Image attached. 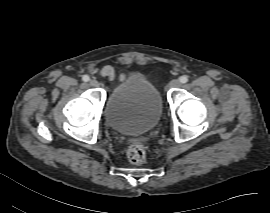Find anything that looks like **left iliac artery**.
Listing matches in <instances>:
<instances>
[{"label": "left iliac artery", "mask_w": 270, "mask_h": 213, "mask_svg": "<svg viewBox=\"0 0 270 213\" xmlns=\"http://www.w3.org/2000/svg\"><path fill=\"white\" fill-rule=\"evenodd\" d=\"M180 82H181V83H186V82H188V77H187L186 75L181 76V77H180Z\"/></svg>", "instance_id": "left-iliac-artery-1"}]
</instances>
